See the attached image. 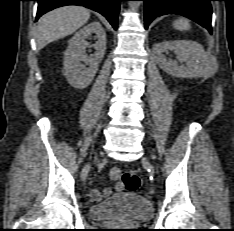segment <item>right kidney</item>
I'll return each mask as SVG.
<instances>
[{"label": "right kidney", "mask_w": 234, "mask_h": 231, "mask_svg": "<svg viewBox=\"0 0 234 231\" xmlns=\"http://www.w3.org/2000/svg\"><path fill=\"white\" fill-rule=\"evenodd\" d=\"M93 33L96 35L97 42L91 45L87 39ZM89 46H93L95 49L93 56L86 54V48ZM105 51L106 34L98 21L84 26L75 33L64 52L63 72L68 82L75 88H86L92 82ZM81 62L89 67L86 68Z\"/></svg>", "instance_id": "obj_1"}]
</instances>
